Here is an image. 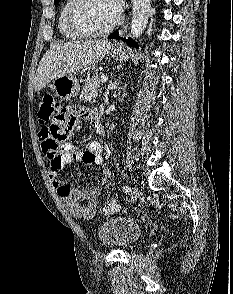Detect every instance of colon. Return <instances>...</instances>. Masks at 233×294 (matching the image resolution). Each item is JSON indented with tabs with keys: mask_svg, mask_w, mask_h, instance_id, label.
<instances>
[{
	"mask_svg": "<svg viewBox=\"0 0 233 294\" xmlns=\"http://www.w3.org/2000/svg\"><path fill=\"white\" fill-rule=\"evenodd\" d=\"M62 107L51 95H44L40 99V108L38 111V121L41 124L48 126L49 120L56 115H52V110H60ZM46 144V143H45ZM119 209V205L116 200H108L104 202L100 207V213L102 215H108L115 213Z\"/></svg>",
	"mask_w": 233,
	"mask_h": 294,
	"instance_id": "1",
	"label": "colon"
}]
</instances>
